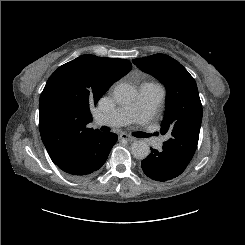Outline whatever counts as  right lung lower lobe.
Masks as SVG:
<instances>
[{
    "instance_id": "obj_1",
    "label": "right lung lower lobe",
    "mask_w": 245,
    "mask_h": 245,
    "mask_svg": "<svg viewBox=\"0 0 245 245\" xmlns=\"http://www.w3.org/2000/svg\"><path fill=\"white\" fill-rule=\"evenodd\" d=\"M116 141V135L96 131L55 164L75 179L90 178L105 163Z\"/></svg>"
}]
</instances>
